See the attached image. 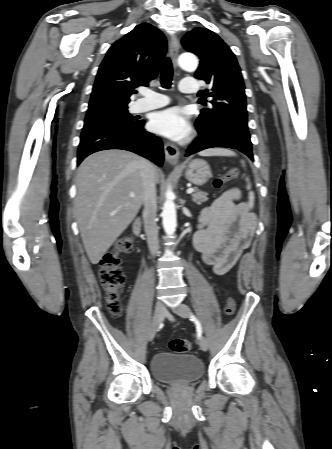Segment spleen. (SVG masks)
Wrapping results in <instances>:
<instances>
[{
  "label": "spleen",
  "mask_w": 332,
  "mask_h": 449,
  "mask_svg": "<svg viewBox=\"0 0 332 449\" xmlns=\"http://www.w3.org/2000/svg\"><path fill=\"white\" fill-rule=\"evenodd\" d=\"M201 156H235L236 154L228 149H208L205 151L200 152ZM242 164L244 165V162L242 161ZM246 181L248 182L247 184V189L250 190L251 185L249 183V179L247 178ZM254 205V193L252 191L249 192V207L253 208Z\"/></svg>",
  "instance_id": "3e777b00"
}]
</instances>
